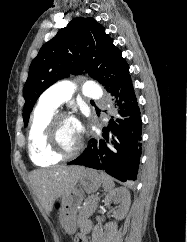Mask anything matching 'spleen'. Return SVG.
I'll return each instance as SVG.
<instances>
[{"mask_svg":"<svg viewBox=\"0 0 187 242\" xmlns=\"http://www.w3.org/2000/svg\"><path fill=\"white\" fill-rule=\"evenodd\" d=\"M101 178H102L104 190L106 192H111L113 190V188L115 187L113 179L105 173H101Z\"/></svg>","mask_w":187,"mask_h":242,"instance_id":"spleen-1","label":"spleen"}]
</instances>
